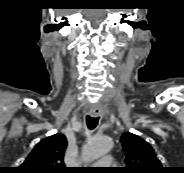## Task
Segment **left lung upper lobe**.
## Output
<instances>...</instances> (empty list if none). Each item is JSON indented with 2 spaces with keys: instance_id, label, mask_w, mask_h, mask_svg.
I'll return each instance as SVG.
<instances>
[{
  "instance_id": "obj_1",
  "label": "left lung upper lobe",
  "mask_w": 184,
  "mask_h": 173,
  "mask_svg": "<svg viewBox=\"0 0 184 173\" xmlns=\"http://www.w3.org/2000/svg\"><path fill=\"white\" fill-rule=\"evenodd\" d=\"M123 150L126 154V167L122 173H163L153 148L139 136L132 133H124L121 138Z\"/></svg>"
}]
</instances>
